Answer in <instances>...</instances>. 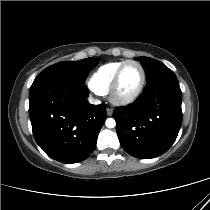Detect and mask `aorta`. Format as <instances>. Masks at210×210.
I'll use <instances>...</instances> for the list:
<instances>
[{
    "label": "aorta",
    "mask_w": 210,
    "mask_h": 210,
    "mask_svg": "<svg viewBox=\"0 0 210 210\" xmlns=\"http://www.w3.org/2000/svg\"><path fill=\"white\" fill-rule=\"evenodd\" d=\"M105 124L108 128H114L116 126V122L113 118L106 119Z\"/></svg>",
    "instance_id": "762f6f07"
}]
</instances>
